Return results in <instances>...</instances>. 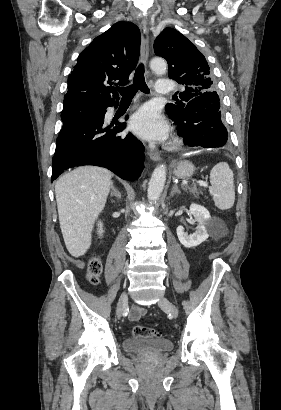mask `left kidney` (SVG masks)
<instances>
[{
  "label": "left kidney",
  "instance_id": "1",
  "mask_svg": "<svg viewBox=\"0 0 281 410\" xmlns=\"http://www.w3.org/2000/svg\"><path fill=\"white\" fill-rule=\"evenodd\" d=\"M189 210L198 222L196 231L193 234L188 235L182 226H178L177 236L183 246L192 248L207 240L209 236L207 226H209L211 216L205 207L198 204H191Z\"/></svg>",
  "mask_w": 281,
  "mask_h": 410
}]
</instances>
